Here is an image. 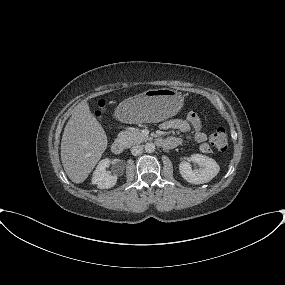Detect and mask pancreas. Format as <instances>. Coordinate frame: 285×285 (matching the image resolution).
<instances>
[{"label": "pancreas", "instance_id": "cf45deb5", "mask_svg": "<svg viewBox=\"0 0 285 285\" xmlns=\"http://www.w3.org/2000/svg\"><path fill=\"white\" fill-rule=\"evenodd\" d=\"M118 137L122 139L127 146L138 144L148 139L147 136L143 135L139 130L134 128H127L126 130L120 132Z\"/></svg>", "mask_w": 285, "mask_h": 285}]
</instances>
